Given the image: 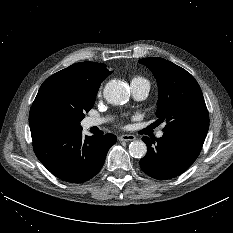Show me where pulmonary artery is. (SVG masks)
Masks as SVG:
<instances>
[{
    "label": "pulmonary artery",
    "mask_w": 233,
    "mask_h": 233,
    "mask_svg": "<svg viewBox=\"0 0 233 233\" xmlns=\"http://www.w3.org/2000/svg\"><path fill=\"white\" fill-rule=\"evenodd\" d=\"M131 90L136 99L143 100L144 98L147 97L149 93L150 84L147 80L134 81L131 82ZM106 121L107 119L105 118H88L86 124L88 127H94V126H99L105 123ZM157 136L162 137L163 132L162 131L158 132Z\"/></svg>",
    "instance_id": "e3ab8cb5"
}]
</instances>
